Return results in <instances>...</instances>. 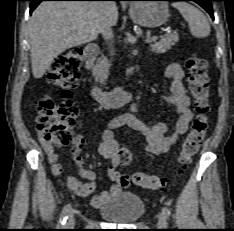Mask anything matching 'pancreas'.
<instances>
[{
    "label": "pancreas",
    "instance_id": "cf45deb5",
    "mask_svg": "<svg viewBox=\"0 0 234 231\" xmlns=\"http://www.w3.org/2000/svg\"><path fill=\"white\" fill-rule=\"evenodd\" d=\"M178 39L177 33H168L161 37L158 42L152 44L151 50L155 53H165L171 46L175 45ZM109 66L105 57L99 58L94 66V73L99 77L101 83L108 77Z\"/></svg>",
    "mask_w": 234,
    "mask_h": 231
}]
</instances>
